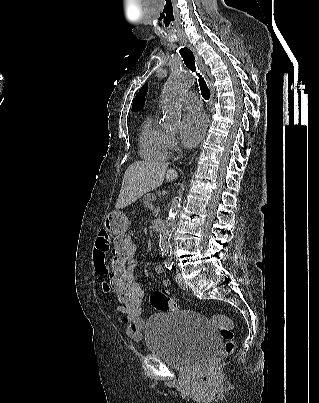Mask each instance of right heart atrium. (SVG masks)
I'll return each instance as SVG.
<instances>
[{"instance_id":"right-heart-atrium-1","label":"right heart atrium","mask_w":319,"mask_h":403,"mask_svg":"<svg viewBox=\"0 0 319 403\" xmlns=\"http://www.w3.org/2000/svg\"><path fill=\"white\" fill-rule=\"evenodd\" d=\"M177 148V140L173 135H168V151L173 152Z\"/></svg>"}]
</instances>
